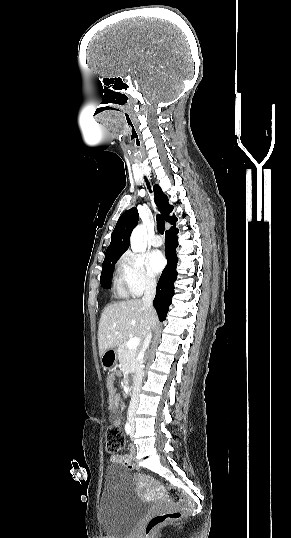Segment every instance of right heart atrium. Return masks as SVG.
I'll return each mask as SVG.
<instances>
[{"label":"right heart atrium","mask_w":291,"mask_h":538,"mask_svg":"<svg viewBox=\"0 0 291 538\" xmlns=\"http://www.w3.org/2000/svg\"><path fill=\"white\" fill-rule=\"evenodd\" d=\"M125 282L130 294L140 296L155 288V279L147 272L144 258L132 252L125 253L120 260Z\"/></svg>","instance_id":"d8ad5b80"}]
</instances>
